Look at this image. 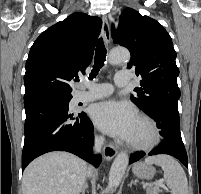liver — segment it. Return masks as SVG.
<instances>
[{"label":"liver","instance_id":"obj_1","mask_svg":"<svg viewBox=\"0 0 201 194\" xmlns=\"http://www.w3.org/2000/svg\"><path fill=\"white\" fill-rule=\"evenodd\" d=\"M89 168L67 152H50L32 161L24 171L23 194H79Z\"/></svg>","mask_w":201,"mask_h":194}]
</instances>
